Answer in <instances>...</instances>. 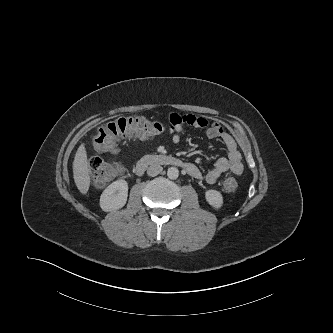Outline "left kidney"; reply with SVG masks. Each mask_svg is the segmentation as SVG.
Instances as JSON below:
<instances>
[{
    "label": "left kidney",
    "instance_id": "obj_1",
    "mask_svg": "<svg viewBox=\"0 0 333 333\" xmlns=\"http://www.w3.org/2000/svg\"><path fill=\"white\" fill-rule=\"evenodd\" d=\"M206 201L215 209H220L223 205V196L217 190H207L205 192Z\"/></svg>",
    "mask_w": 333,
    "mask_h": 333
}]
</instances>
